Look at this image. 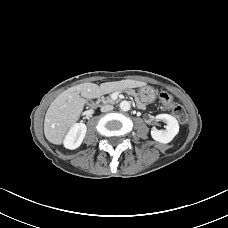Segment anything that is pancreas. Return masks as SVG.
Returning a JSON list of instances; mask_svg holds the SVG:
<instances>
[{
	"mask_svg": "<svg viewBox=\"0 0 228 228\" xmlns=\"http://www.w3.org/2000/svg\"><path fill=\"white\" fill-rule=\"evenodd\" d=\"M116 90V89H115ZM115 90H111L109 93H108V95H106L105 97H102L101 98V101L103 102V103H111V104H113V103H115L116 101L115 100H113L111 97L113 96V91H115ZM121 91H123V90H121ZM127 94H129V95H132V96H134L135 97V103L137 104V106H138V108L139 109H146V106L143 104V103H141V101H140V99L137 97V95H136V93L133 91V90H131V89H126V90H124Z\"/></svg>",
	"mask_w": 228,
	"mask_h": 228,
	"instance_id": "pancreas-1",
	"label": "pancreas"
}]
</instances>
